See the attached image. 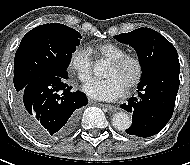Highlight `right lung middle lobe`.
<instances>
[{
    "label": "right lung middle lobe",
    "mask_w": 190,
    "mask_h": 165,
    "mask_svg": "<svg viewBox=\"0 0 190 165\" xmlns=\"http://www.w3.org/2000/svg\"><path fill=\"white\" fill-rule=\"evenodd\" d=\"M81 35L59 23L40 25L22 39L14 59V86H25L44 76L67 77V68Z\"/></svg>",
    "instance_id": "right-lung-middle-lobe-1"
}]
</instances>
